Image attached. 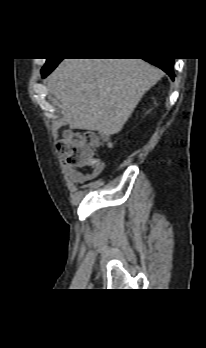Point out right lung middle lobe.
<instances>
[{"label": "right lung middle lobe", "instance_id": "right-lung-middle-lobe-1", "mask_svg": "<svg viewBox=\"0 0 206 348\" xmlns=\"http://www.w3.org/2000/svg\"><path fill=\"white\" fill-rule=\"evenodd\" d=\"M58 60L61 61V59H47V61H46L45 65H44V67L42 68V70L47 69V68H49V67H51V66L56 65Z\"/></svg>", "mask_w": 206, "mask_h": 348}]
</instances>
